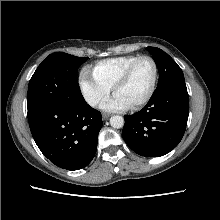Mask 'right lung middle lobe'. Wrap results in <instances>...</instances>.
I'll list each match as a JSON object with an SVG mask.
<instances>
[{"instance_id": "1", "label": "right lung middle lobe", "mask_w": 220, "mask_h": 220, "mask_svg": "<svg viewBox=\"0 0 220 220\" xmlns=\"http://www.w3.org/2000/svg\"><path fill=\"white\" fill-rule=\"evenodd\" d=\"M87 59L62 52L47 56L30 79L28 110L52 103L65 106L84 103L76 75Z\"/></svg>"}]
</instances>
